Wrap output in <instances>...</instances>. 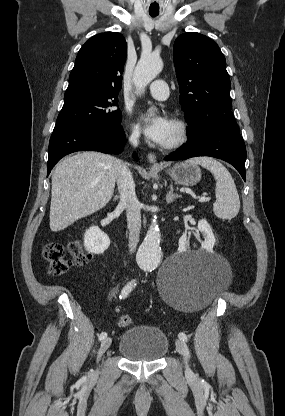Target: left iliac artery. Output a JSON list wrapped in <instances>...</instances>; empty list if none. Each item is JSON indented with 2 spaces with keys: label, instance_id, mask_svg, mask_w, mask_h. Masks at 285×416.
<instances>
[{
  "label": "left iliac artery",
  "instance_id": "obj_1",
  "mask_svg": "<svg viewBox=\"0 0 285 416\" xmlns=\"http://www.w3.org/2000/svg\"><path fill=\"white\" fill-rule=\"evenodd\" d=\"M179 338L182 340V341H185V342H187V340H188V337H187V335L185 334V333H183V332H181V333H179Z\"/></svg>",
  "mask_w": 285,
  "mask_h": 416
}]
</instances>
